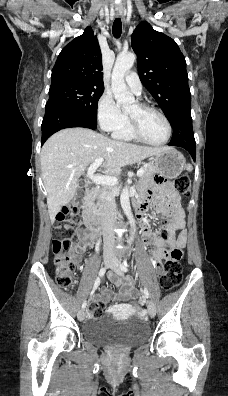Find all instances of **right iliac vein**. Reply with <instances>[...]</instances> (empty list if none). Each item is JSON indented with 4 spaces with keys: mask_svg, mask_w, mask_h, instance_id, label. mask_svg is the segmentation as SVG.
<instances>
[{
    "mask_svg": "<svg viewBox=\"0 0 228 396\" xmlns=\"http://www.w3.org/2000/svg\"><path fill=\"white\" fill-rule=\"evenodd\" d=\"M103 263L106 267H110L112 265V256L107 254L104 256ZM78 320L83 321L85 318V311L81 309L77 314Z\"/></svg>",
    "mask_w": 228,
    "mask_h": 396,
    "instance_id": "obj_1",
    "label": "right iliac vein"
}]
</instances>
